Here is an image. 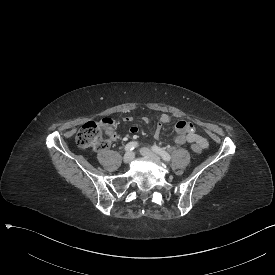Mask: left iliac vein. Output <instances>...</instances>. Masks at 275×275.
Listing matches in <instances>:
<instances>
[{
    "label": "left iliac vein",
    "instance_id": "4c4485c4",
    "mask_svg": "<svg viewBox=\"0 0 275 275\" xmlns=\"http://www.w3.org/2000/svg\"><path fill=\"white\" fill-rule=\"evenodd\" d=\"M140 153L142 156H144L147 159H150L153 161H160V157L155 152H153L148 148H145V147L141 148Z\"/></svg>",
    "mask_w": 275,
    "mask_h": 275
}]
</instances>
